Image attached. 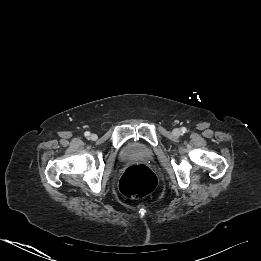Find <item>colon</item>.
Listing matches in <instances>:
<instances>
[{
    "mask_svg": "<svg viewBox=\"0 0 261 261\" xmlns=\"http://www.w3.org/2000/svg\"><path fill=\"white\" fill-rule=\"evenodd\" d=\"M157 185L153 171L142 164L128 167L119 181V189L129 198H140L152 193Z\"/></svg>",
    "mask_w": 261,
    "mask_h": 261,
    "instance_id": "5ec220e1",
    "label": "colon"
}]
</instances>
